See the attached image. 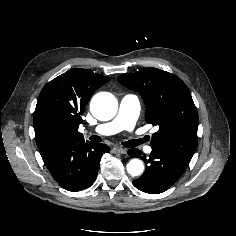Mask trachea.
<instances>
[{
    "instance_id": "1",
    "label": "trachea",
    "mask_w": 236,
    "mask_h": 236,
    "mask_svg": "<svg viewBox=\"0 0 236 236\" xmlns=\"http://www.w3.org/2000/svg\"><path fill=\"white\" fill-rule=\"evenodd\" d=\"M90 140H92L94 142H101L102 141V139L97 135L91 136ZM143 142H144L143 139L129 140L126 142H122V145H124L126 147H136V146H139L140 144H142Z\"/></svg>"
}]
</instances>
